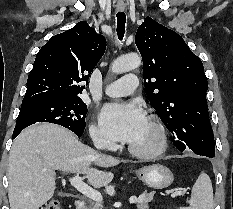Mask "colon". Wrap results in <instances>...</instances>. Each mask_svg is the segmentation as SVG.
<instances>
[{
    "label": "colon",
    "instance_id": "5ec220e1",
    "mask_svg": "<svg viewBox=\"0 0 233 209\" xmlns=\"http://www.w3.org/2000/svg\"><path fill=\"white\" fill-rule=\"evenodd\" d=\"M41 209H61V207L59 201L52 200L43 205Z\"/></svg>",
    "mask_w": 233,
    "mask_h": 209
}]
</instances>
